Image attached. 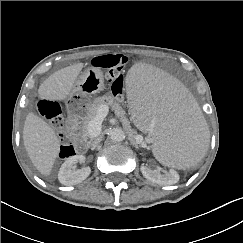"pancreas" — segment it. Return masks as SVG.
I'll list each match as a JSON object with an SVG mask.
<instances>
[{"label": "pancreas", "mask_w": 243, "mask_h": 243, "mask_svg": "<svg viewBox=\"0 0 243 243\" xmlns=\"http://www.w3.org/2000/svg\"><path fill=\"white\" fill-rule=\"evenodd\" d=\"M102 105H109L115 112L116 117H118L122 122H126V112L117 102L114 101L113 97L102 96L95 98L88 106V113L86 119L83 121L82 125V134L84 137H90L91 135L88 132V124L93 120L96 115L98 108Z\"/></svg>", "instance_id": "cf45deb5"}]
</instances>
